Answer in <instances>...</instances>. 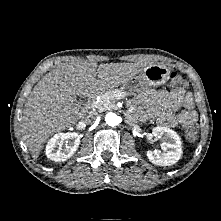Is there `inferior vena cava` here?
Listing matches in <instances>:
<instances>
[{
  "instance_id": "obj_1",
  "label": "inferior vena cava",
  "mask_w": 221,
  "mask_h": 221,
  "mask_svg": "<svg viewBox=\"0 0 221 221\" xmlns=\"http://www.w3.org/2000/svg\"><path fill=\"white\" fill-rule=\"evenodd\" d=\"M96 118H97V113H91L86 117L85 122L87 124H93L96 121Z\"/></svg>"
}]
</instances>
